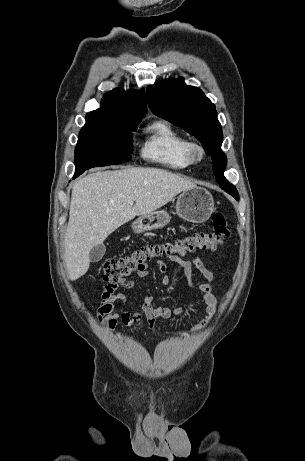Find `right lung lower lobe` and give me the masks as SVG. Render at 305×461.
<instances>
[{
  "label": "right lung lower lobe",
  "mask_w": 305,
  "mask_h": 461,
  "mask_svg": "<svg viewBox=\"0 0 305 461\" xmlns=\"http://www.w3.org/2000/svg\"><path fill=\"white\" fill-rule=\"evenodd\" d=\"M81 173H83V172H81L80 170H76V171H75V175H74L73 178L77 177V176L80 175Z\"/></svg>",
  "instance_id": "right-lung-lower-lobe-1"
}]
</instances>
